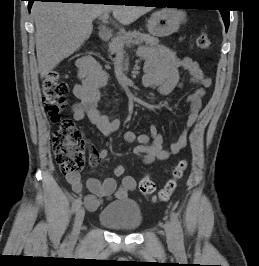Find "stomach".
I'll list each match as a JSON object with an SVG mask.
<instances>
[{
    "mask_svg": "<svg viewBox=\"0 0 259 266\" xmlns=\"http://www.w3.org/2000/svg\"><path fill=\"white\" fill-rule=\"evenodd\" d=\"M186 13L176 9H162L152 13L148 20V32L155 37H166L178 31L186 21Z\"/></svg>",
    "mask_w": 259,
    "mask_h": 266,
    "instance_id": "obj_1",
    "label": "stomach"
}]
</instances>
